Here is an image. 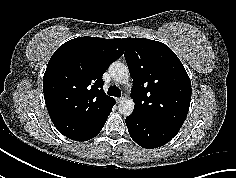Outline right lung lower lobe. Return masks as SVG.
<instances>
[{
    "label": "right lung lower lobe",
    "mask_w": 236,
    "mask_h": 178,
    "mask_svg": "<svg viewBox=\"0 0 236 178\" xmlns=\"http://www.w3.org/2000/svg\"><path fill=\"white\" fill-rule=\"evenodd\" d=\"M100 131H101V130H100ZM100 131H99V132H100ZM99 132H98V133H99ZM98 133H97V134H98ZM97 134H96V135H97ZM96 135H94L93 137H95ZM91 138H92V137H91ZM91 138H90V139H91ZM88 140H89V139H88ZM85 141H86V140H85Z\"/></svg>",
    "instance_id": "1"
}]
</instances>
